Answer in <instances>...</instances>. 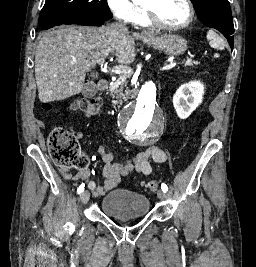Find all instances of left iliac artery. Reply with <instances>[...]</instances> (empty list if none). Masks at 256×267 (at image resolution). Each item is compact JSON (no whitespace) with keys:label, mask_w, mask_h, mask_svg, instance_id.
<instances>
[{"label":"left iliac artery","mask_w":256,"mask_h":267,"mask_svg":"<svg viewBox=\"0 0 256 267\" xmlns=\"http://www.w3.org/2000/svg\"><path fill=\"white\" fill-rule=\"evenodd\" d=\"M161 189H162V191L165 192V193L168 191V187H167V185H166L165 183H162V185H161Z\"/></svg>","instance_id":"left-iliac-artery-1"}]
</instances>
